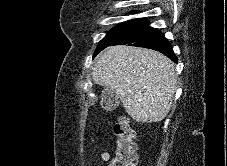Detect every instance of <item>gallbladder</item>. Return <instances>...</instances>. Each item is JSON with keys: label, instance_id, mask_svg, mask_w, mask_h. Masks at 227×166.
<instances>
[{"label": "gallbladder", "instance_id": "gallbladder-1", "mask_svg": "<svg viewBox=\"0 0 227 166\" xmlns=\"http://www.w3.org/2000/svg\"><path fill=\"white\" fill-rule=\"evenodd\" d=\"M101 105L106 110H113L118 106V97L109 87L101 92Z\"/></svg>", "mask_w": 227, "mask_h": 166}]
</instances>
